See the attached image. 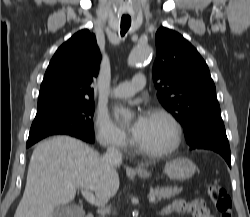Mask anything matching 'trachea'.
<instances>
[{"instance_id": "1", "label": "trachea", "mask_w": 250, "mask_h": 217, "mask_svg": "<svg viewBox=\"0 0 250 217\" xmlns=\"http://www.w3.org/2000/svg\"><path fill=\"white\" fill-rule=\"evenodd\" d=\"M131 26V19H121V36H124Z\"/></svg>"}]
</instances>
